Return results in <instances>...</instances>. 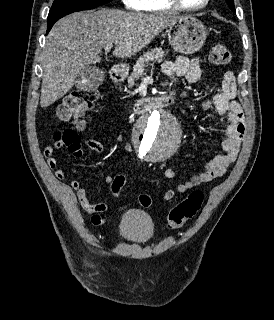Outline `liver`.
I'll list each match as a JSON object with an SVG mask.
<instances>
[{"label": "liver", "instance_id": "1", "mask_svg": "<svg viewBox=\"0 0 274 320\" xmlns=\"http://www.w3.org/2000/svg\"><path fill=\"white\" fill-rule=\"evenodd\" d=\"M179 18L183 16L109 8L61 18L49 32L44 48L41 108L63 98L89 64L101 62L99 54L106 44H114L116 58H132Z\"/></svg>", "mask_w": 274, "mask_h": 320}]
</instances>
